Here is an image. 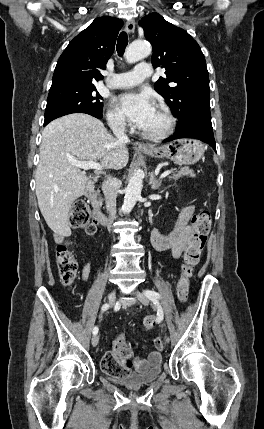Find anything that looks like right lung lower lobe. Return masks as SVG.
I'll list each match as a JSON object with an SVG mask.
<instances>
[{"label":"right lung lower lobe","instance_id":"obj_1","mask_svg":"<svg viewBox=\"0 0 264 429\" xmlns=\"http://www.w3.org/2000/svg\"><path fill=\"white\" fill-rule=\"evenodd\" d=\"M48 123H44V126L47 125Z\"/></svg>","mask_w":264,"mask_h":429}]
</instances>
